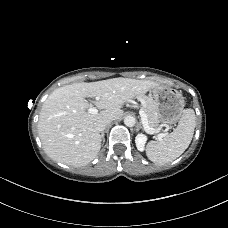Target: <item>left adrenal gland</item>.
Returning a JSON list of instances; mask_svg holds the SVG:
<instances>
[{
    "mask_svg": "<svg viewBox=\"0 0 228 228\" xmlns=\"http://www.w3.org/2000/svg\"><path fill=\"white\" fill-rule=\"evenodd\" d=\"M139 129H143V127H142V124H141V123H139V125H138V127H137V131H138Z\"/></svg>",
    "mask_w": 228,
    "mask_h": 228,
    "instance_id": "left-adrenal-gland-1",
    "label": "left adrenal gland"
}]
</instances>
